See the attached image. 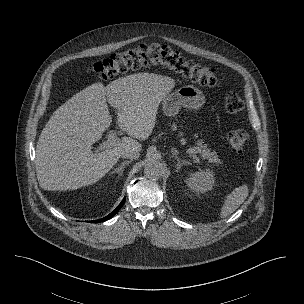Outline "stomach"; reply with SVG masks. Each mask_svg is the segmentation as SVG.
Wrapping results in <instances>:
<instances>
[{
    "label": "stomach",
    "mask_w": 304,
    "mask_h": 304,
    "mask_svg": "<svg viewBox=\"0 0 304 304\" xmlns=\"http://www.w3.org/2000/svg\"><path fill=\"white\" fill-rule=\"evenodd\" d=\"M204 102L205 97L201 90L192 85H185L163 98L162 111L166 116L173 117L182 107L198 109Z\"/></svg>",
    "instance_id": "1"
}]
</instances>
